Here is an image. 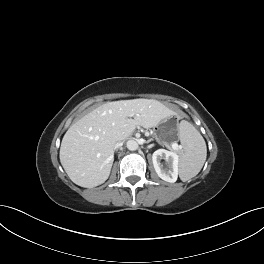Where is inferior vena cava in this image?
Segmentation results:
<instances>
[{
    "label": "inferior vena cava",
    "instance_id": "1",
    "mask_svg": "<svg viewBox=\"0 0 264 264\" xmlns=\"http://www.w3.org/2000/svg\"><path fill=\"white\" fill-rule=\"evenodd\" d=\"M122 141L121 140H118L115 144H114V149H117L119 148L120 146H122Z\"/></svg>",
    "mask_w": 264,
    "mask_h": 264
}]
</instances>
